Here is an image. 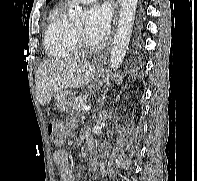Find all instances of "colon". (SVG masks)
Listing matches in <instances>:
<instances>
[{
    "label": "colon",
    "instance_id": "5ec220e1",
    "mask_svg": "<svg viewBox=\"0 0 197 181\" xmlns=\"http://www.w3.org/2000/svg\"><path fill=\"white\" fill-rule=\"evenodd\" d=\"M49 136L56 143H61L63 139V133L61 126L58 123H50L47 127Z\"/></svg>",
    "mask_w": 197,
    "mask_h": 181
}]
</instances>
